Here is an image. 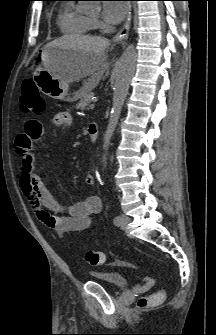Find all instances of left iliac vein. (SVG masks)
<instances>
[{
    "label": "left iliac vein",
    "mask_w": 216,
    "mask_h": 335,
    "mask_svg": "<svg viewBox=\"0 0 216 335\" xmlns=\"http://www.w3.org/2000/svg\"><path fill=\"white\" fill-rule=\"evenodd\" d=\"M120 218H121V220H120V222H119L118 225H119L122 229H124V228H126V226L128 225L130 219H129V217L126 216V215H121Z\"/></svg>",
    "instance_id": "4c4485c4"
}]
</instances>
